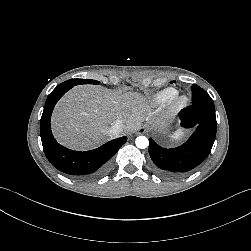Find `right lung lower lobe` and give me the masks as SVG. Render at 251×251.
<instances>
[{
    "mask_svg": "<svg viewBox=\"0 0 251 251\" xmlns=\"http://www.w3.org/2000/svg\"><path fill=\"white\" fill-rule=\"evenodd\" d=\"M72 87L69 84H61L47 98L41 119L43 148L49 161L60 171L70 175L95 178L105 172L104 164L126 142L127 138L112 140L95 150L86 152L72 151L58 144L51 132V114L57 101Z\"/></svg>",
    "mask_w": 251,
    "mask_h": 251,
    "instance_id": "98d812e1",
    "label": "right lung lower lobe"
}]
</instances>
